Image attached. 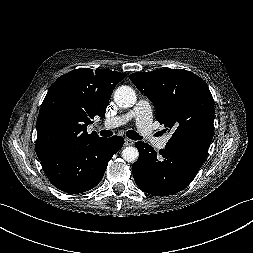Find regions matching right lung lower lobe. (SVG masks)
<instances>
[{
  "mask_svg": "<svg viewBox=\"0 0 253 253\" xmlns=\"http://www.w3.org/2000/svg\"><path fill=\"white\" fill-rule=\"evenodd\" d=\"M120 136L100 138L81 146H68L40 157L50 182L67 193H82L102 179L108 162L123 146Z\"/></svg>",
  "mask_w": 253,
  "mask_h": 253,
  "instance_id": "98d812e1",
  "label": "right lung lower lobe"
}]
</instances>
